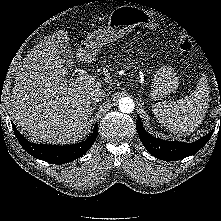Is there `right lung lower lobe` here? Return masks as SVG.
Here are the masks:
<instances>
[{
    "label": "right lung lower lobe",
    "mask_w": 221,
    "mask_h": 221,
    "mask_svg": "<svg viewBox=\"0 0 221 221\" xmlns=\"http://www.w3.org/2000/svg\"><path fill=\"white\" fill-rule=\"evenodd\" d=\"M12 127L19 143L30 155L52 164H64L86 153L95 142L98 129L96 123L92 135L87 140L74 145L59 146L31 143L20 134L13 123Z\"/></svg>",
    "instance_id": "obj_1"
}]
</instances>
